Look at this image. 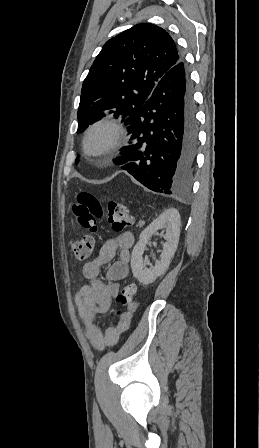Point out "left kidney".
Here are the masks:
<instances>
[{"label": "left kidney", "instance_id": "obj_1", "mask_svg": "<svg viewBox=\"0 0 259 448\" xmlns=\"http://www.w3.org/2000/svg\"><path fill=\"white\" fill-rule=\"evenodd\" d=\"M180 226L181 220L178 210H176V208H169V210H165L157 220H154V222L140 234L139 242H137L136 246L133 248L131 268L134 278H137L138 282H141L143 286L153 284L156 278L165 274L167 268H169L170 260L177 250ZM162 228H166V236H164V238L167 242H165L163 246L161 258L156 262L155 266L146 268V264H143L142 258L145 246L151 236H153L157 230H162Z\"/></svg>", "mask_w": 259, "mask_h": 448}]
</instances>
